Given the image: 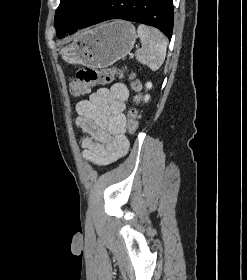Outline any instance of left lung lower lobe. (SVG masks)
Listing matches in <instances>:
<instances>
[{
  "label": "left lung lower lobe",
  "instance_id": "1",
  "mask_svg": "<svg viewBox=\"0 0 247 280\" xmlns=\"http://www.w3.org/2000/svg\"><path fill=\"white\" fill-rule=\"evenodd\" d=\"M173 18L172 0H103L77 29L110 19H124L154 26L170 40ZM77 29L67 32L72 34Z\"/></svg>",
  "mask_w": 247,
  "mask_h": 280
}]
</instances>
